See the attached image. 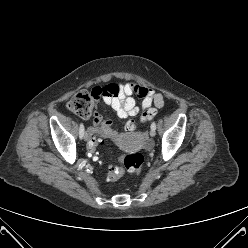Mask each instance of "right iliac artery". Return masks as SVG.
<instances>
[{"label": "right iliac artery", "mask_w": 248, "mask_h": 248, "mask_svg": "<svg viewBox=\"0 0 248 248\" xmlns=\"http://www.w3.org/2000/svg\"><path fill=\"white\" fill-rule=\"evenodd\" d=\"M84 131H85L84 125H83V123H81L80 128H79V136H80V138H82L84 136V133H85Z\"/></svg>", "instance_id": "82829eb1"}]
</instances>
